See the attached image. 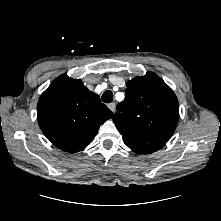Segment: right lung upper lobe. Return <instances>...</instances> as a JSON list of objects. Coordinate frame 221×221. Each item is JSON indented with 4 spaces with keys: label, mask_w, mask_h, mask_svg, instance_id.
<instances>
[{
    "label": "right lung upper lobe",
    "mask_w": 221,
    "mask_h": 221,
    "mask_svg": "<svg viewBox=\"0 0 221 221\" xmlns=\"http://www.w3.org/2000/svg\"><path fill=\"white\" fill-rule=\"evenodd\" d=\"M37 113L44 135L53 145L70 153L88 146L100 125L113 115L81 80L66 74L57 77L41 95Z\"/></svg>",
    "instance_id": "cb5924a9"
}]
</instances>
